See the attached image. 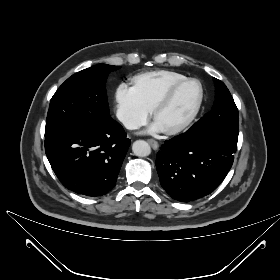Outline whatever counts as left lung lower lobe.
Instances as JSON below:
<instances>
[{
  "label": "left lung lower lobe",
  "mask_w": 280,
  "mask_h": 280,
  "mask_svg": "<svg viewBox=\"0 0 280 280\" xmlns=\"http://www.w3.org/2000/svg\"><path fill=\"white\" fill-rule=\"evenodd\" d=\"M237 144L206 131H187L165 141L156 158L162 188L190 202L213 192L232 167Z\"/></svg>",
  "instance_id": "obj_1"
}]
</instances>
